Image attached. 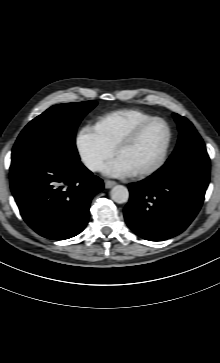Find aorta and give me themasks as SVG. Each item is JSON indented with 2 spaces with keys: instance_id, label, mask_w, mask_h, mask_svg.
I'll list each match as a JSON object with an SVG mask.
<instances>
[{
  "instance_id": "aorta-1",
  "label": "aorta",
  "mask_w": 220,
  "mask_h": 363,
  "mask_svg": "<svg viewBox=\"0 0 220 363\" xmlns=\"http://www.w3.org/2000/svg\"><path fill=\"white\" fill-rule=\"evenodd\" d=\"M111 198L118 204H122L128 201L129 191L123 185H116L111 189Z\"/></svg>"
}]
</instances>
